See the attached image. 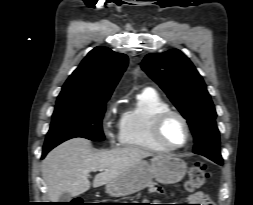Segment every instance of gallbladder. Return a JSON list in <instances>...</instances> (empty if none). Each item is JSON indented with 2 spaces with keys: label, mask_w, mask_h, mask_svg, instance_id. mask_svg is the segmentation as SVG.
Listing matches in <instances>:
<instances>
[{
  "label": "gallbladder",
  "mask_w": 253,
  "mask_h": 205,
  "mask_svg": "<svg viewBox=\"0 0 253 205\" xmlns=\"http://www.w3.org/2000/svg\"><path fill=\"white\" fill-rule=\"evenodd\" d=\"M72 199V196L68 192H64L61 194L59 198V202H70Z\"/></svg>",
  "instance_id": "gallbladder-1"
}]
</instances>
